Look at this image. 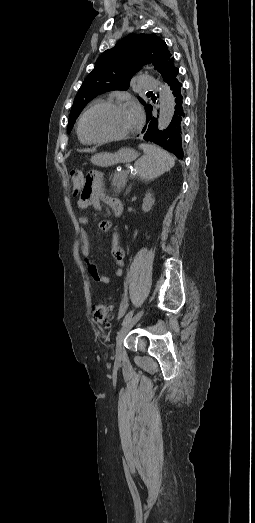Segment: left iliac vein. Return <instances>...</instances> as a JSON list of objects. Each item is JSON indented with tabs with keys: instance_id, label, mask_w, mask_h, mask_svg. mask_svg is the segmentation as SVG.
<instances>
[{
	"instance_id": "left-iliac-vein-1",
	"label": "left iliac vein",
	"mask_w": 255,
	"mask_h": 523,
	"mask_svg": "<svg viewBox=\"0 0 255 523\" xmlns=\"http://www.w3.org/2000/svg\"><path fill=\"white\" fill-rule=\"evenodd\" d=\"M144 311L138 312L133 318H131L127 323L123 325V327L118 332V335L116 337V357L121 358L122 354V343L126 336V334L129 332V330L140 320L142 317Z\"/></svg>"
}]
</instances>
